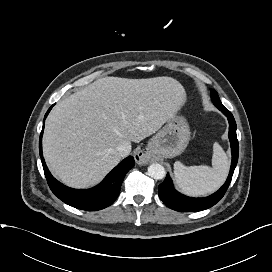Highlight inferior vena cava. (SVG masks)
<instances>
[{
    "label": "inferior vena cava",
    "instance_id": "602c4592",
    "mask_svg": "<svg viewBox=\"0 0 272 272\" xmlns=\"http://www.w3.org/2000/svg\"><path fill=\"white\" fill-rule=\"evenodd\" d=\"M121 157L127 156L131 152V143L129 141H123L116 147Z\"/></svg>",
    "mask_w": 272,
    "mask_h": 272
}]
</instances>
